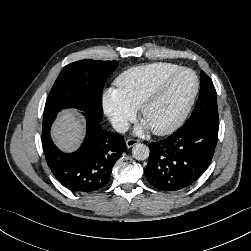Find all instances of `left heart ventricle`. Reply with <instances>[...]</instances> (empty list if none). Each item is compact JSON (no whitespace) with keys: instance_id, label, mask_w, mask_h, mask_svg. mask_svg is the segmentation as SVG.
<instances>
[{"instance_id":"b2bd125f","label":"left heart ventricle","mask_w":251,"mask_h":251,"mask_svg":"<svg viewBox=\"0 0 251 251\" xmlns=\"http://www.w3.org/2000/svg\"><path fill=\"white\" fill-rule=\"evenodd\" d=\"M195 80L192 74L182 73L165 89L159 99L145 112L143 121L150 129L170 125L182 112L187 103Z\"/></svg>"}]
</instances>
